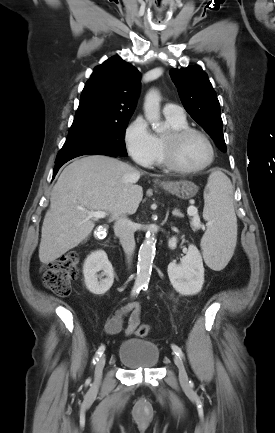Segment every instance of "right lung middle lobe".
Listing matches in <instances>:
<instances>
[{
	"instance_id": "1",
	"label": "right lung middle lobe",
	"mask_w": 275,
	"mask_h": 433,
	"mask_svg": "<svg viewBox=\"0 0 275 433\" xmlns=\"http://www.w3.org/2000/svg\"><path fill=\"white\" fill-rule=\"evenodd\" d=\"M128 119H80L74 120L66 142L59 151L56 161L88 154L108 153L127 156L123 141Z\"/></svg>"
}]
</instances>
